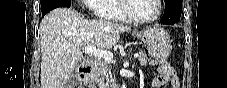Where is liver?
Listing matches in <instances>:
<instances>
[{
	"instance_id": "6515ba94",
	"label": "liver",
	"mask_w": 227,
	"mask_h": 88,
	"mask_svg": "<svg viewBox=\"0 0 227 88\" xmlns=\"http://www.w3.org/2000/svg\"><path fill=\"white\" fill-rule=\"evenodd\" d=\"M130 28L104 20H86L73 9L58 8L41 21V88H63L82 59L81 48L114 47Z\"/></svg>"
}]
</instances>
